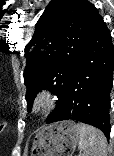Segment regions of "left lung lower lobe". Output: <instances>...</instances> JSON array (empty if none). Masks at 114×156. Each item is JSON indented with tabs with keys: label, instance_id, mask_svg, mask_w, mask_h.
I'll use <instances>...</instances> for the list:
<instances>
[{
	"label": "left lung lower lobe",
	"instance_id": "left-lung-lower-lobe-1",
	"mask_svg": "<svg viewBox=\"0 0 114 156\" xmlns=\"http://www.w3.org/2000/svg\"><path fill=\"white\" fill-rule=\"evenodd\" d=\"M114 48L110 32L98 15L68 82L65 99L48 123L77 120L110 137V91Z\"/></svg>",
	"mask_w": 114,
	"mask_h": 156
}]
</instances>
